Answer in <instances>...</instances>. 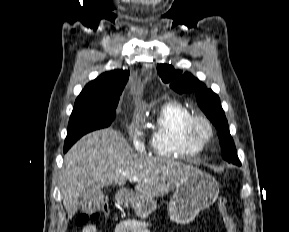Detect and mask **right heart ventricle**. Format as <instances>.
Instances as JSON below:
<instances>
[{
	"label": "right heart ventricle",
	"mask_w": 289,
	"mask_h": 232,
	"mask_svg": "<svg viewBox=\"0 0 289 232\" xmlns=\"http://www.w3.org/2000/svg\"><path fill=\"white\" fill-rule=\"evenodd\" d=\"M192 115L190 110L177 102L164 104L157 113L150 145L162 157H183L197 154L201 148L187 140L184 126Z\"/></svg>",
	"instance_id": "right-heart-ventricle-1"
}]
</instances>
